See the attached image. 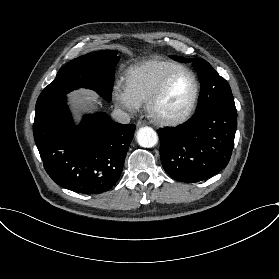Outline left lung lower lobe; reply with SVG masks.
<instances>
[{
    "label": "left lung lower lobe",
    "mask_w": 279,
    "mask_h": 279,
    "mask_svg": "<svg viewBox=\"0 0 279 279\" xmlns=\"http://www.w3.org/2000/svg\"><path fill=\"white\" fill-rule=\"evenodd\" d=\"M236 114L211 108L175 128L159 129L161 162L180 182H198L224 169L231 157Z\"/></svg>",
    "instance_id": "obj_1"
}]
</instances>
